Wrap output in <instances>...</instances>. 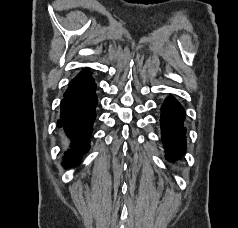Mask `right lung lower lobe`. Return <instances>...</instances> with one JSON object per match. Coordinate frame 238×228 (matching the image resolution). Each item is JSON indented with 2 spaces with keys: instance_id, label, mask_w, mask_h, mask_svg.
<instances>
[{
  "instance_id": "1",
  "label": "right lung lower lobe",
  "mask_w": 238,
  "mask_h": 228,
  "mask_svg": "<svg viewBox=\"0 0 238 228\" xmlns=\"http://www.w3.org/2000/svg\"><path fill=\"white\" fill-rule=\"evenodd\" d=\"M96 84L91 76L73 80L61 102L58 126L63 128L70 140L63 164L77 165L89 148L93 122L96 118Z\"/></svg>"
}]
</instances>
